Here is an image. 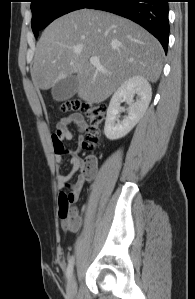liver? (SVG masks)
Segmentation results:
<instances>
[{
	"instance_id": "1",
	"label": "liver",
	"mask_w": 195,
	"mask_h": 299,
	"mask_svg": "<svg viewBox=\"0 0 195 299\" xmlns=\"http://www.w3.org/2000/svg\"><path fill=\"white\" fill-rule=\"evenodd\" d=\"M163 54L159 41L138 24L108 12L80 9L44 30L31 77L35 87L48 90L76 74L78 96L97 104L133 76L156 82ZM91 57L99 58L105 72L89 62Z\"/></svg>"
}]
</instances>
